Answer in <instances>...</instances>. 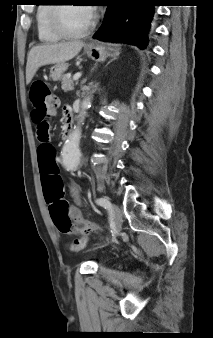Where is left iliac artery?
<instances>
[{"mask_svg": "<svg viewBox=\"0 0 213 338\" xmlns=\"http://www.w3.org/2000/svg\"><path fill=\"white\" fill-rule=\"evenodd\" d=\"M96 203L105 209L109 210L110 216H112V209H111V203L107 198H98L96 199Z\"/></svg>", "mask_w": 213, "mask_h": 338, "instance_id": "obj_1", "label": "left iliac artery"}]
</instances>
